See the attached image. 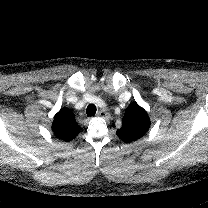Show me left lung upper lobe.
Here are the masks:
<instances>
[{"label": "left lung upper lobe", "mask_w": 208, "mask_h": 208, "mask_svg": "<svg viewBox=\"0 0 208 208\" xmlns=\"http://www.w3.org/2000/svg\"><path fill=\"white\" fill-rule=\"evenodd\" d=\"M150 127L147 112L136 102L125 110L122 126L116 131L117 136L124 142L130 143L141 138Z\"/></svg>", "instance_id": "1"}]
</instances>
